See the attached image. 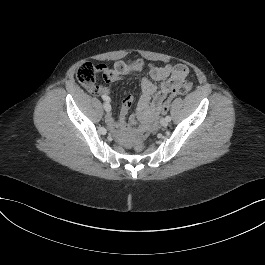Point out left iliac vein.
I'll use <instances>...</instances> for the list:
<instances>
[{"instance_id": "left-iliac-vein-1", "label": "left iliac vein", "mask_w": 265, "mask_h": 265, "mask_svg": "<svg viewBox=\"0 0 265 265\" xmlns=\"http://www.w3.org/2000/svg\"><path fill=\"white\" fill-rule=\"evenodd\" d=\"M160 124L163 126V127H166L168 125V120L166 118H162L160 120Z\"/></svg>"}]
</instances>
